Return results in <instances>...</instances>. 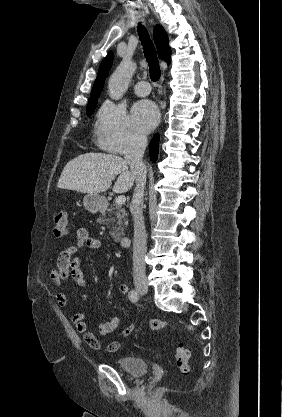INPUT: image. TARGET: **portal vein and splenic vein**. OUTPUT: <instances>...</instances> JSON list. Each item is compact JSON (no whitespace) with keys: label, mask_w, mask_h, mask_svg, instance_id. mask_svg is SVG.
<instances>
[{"label":"portal vein and splenic vein","mask_w":282,"mask_h":417,"mask_svg":"<svg viewBox=\"0 0 282 417\" xmlns=\"http://www.w3.org/2000/svg\"><path fill=\"white\" fill-rule=\"evenodd\" d=\"M125 200H126V196H124V194H120V196H117L115 202H117V204H123Z\"/></svg>","instance_id":"portal-vein-and-splenic-vein-1"}]
</instances>
